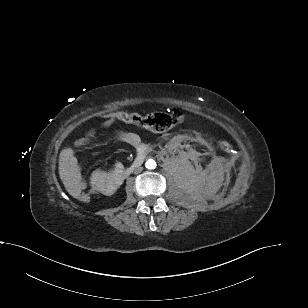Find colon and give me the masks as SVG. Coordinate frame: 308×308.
<instances>
[{"label": "colon", "mask_w": 308, "mask_h": 308, "mask_svg": "<svg viewBox=\"0 0 308 308\" xmlns=\"http://www.w3.org/2000/svg\"><path fill=\"white\" fill-rule=\"evenodd\" d=\"M115 119L125 123L135 124L149 131L162 133L168 131L181 122V113L177 110L167 112H154L146 115L139 113L117 112L113 114ZM220 147L226 153H231L232 145L227 141H221ZM74 198L82 203H88L91 199L87 191H80L74 195Z\"/></svg>", "instance_id": "5ec220e1"}]
</instances>
